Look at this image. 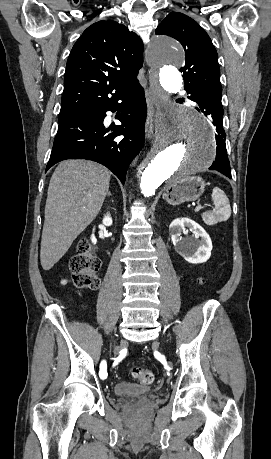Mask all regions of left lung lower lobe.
<instances>
[{"label":"left lung lower lobe","mask_w":271,"mask_h":459,"mask_svg":"<svg viewBox=\"0 0 271 459\" xmlns=\"http://www.w3.org/2000/svg\"><path fill=\"white\" fill-rule=\"evenodd\" d=\"M188 98L199 105L198 111H201L208 116L211 123L214 126L215 138H216V159L209 167L211 170H217L220 173L231 178L230 163L226 151V133L223 129V109L209 105L211 99L210 92L208 90L201 91L198 93H191Z\"/></svg>","instance_id":"0a47b994"}]
</instances>
